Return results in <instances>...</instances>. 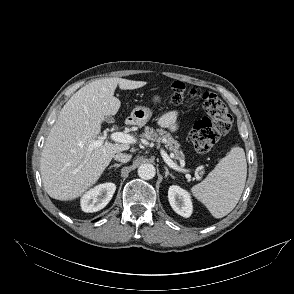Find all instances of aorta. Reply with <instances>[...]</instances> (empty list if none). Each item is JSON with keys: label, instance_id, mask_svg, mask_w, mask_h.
Here are the masks:
<instances>
[{"label": "aorta", "instance_id": "aorta-1", "mask_svg": "<svg viewBox=\"0 0 294 294\" xmlns=\"http://www.w3.org/2000/svg\"><path fill=\"white\" fill-rule=\"evenodd\" d=\"M156 174L155 167L152 164H142L138 168V175L144 180L152 179Z\"/></svg>", "mask_w": 294, "mask_h": 294}]
</instances>
